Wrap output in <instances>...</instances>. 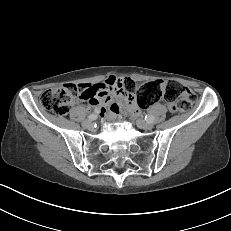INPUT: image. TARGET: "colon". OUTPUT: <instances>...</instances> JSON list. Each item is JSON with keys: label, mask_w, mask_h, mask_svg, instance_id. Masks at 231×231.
Returning <instances> with one entry per match:
<instances>
[{"label": "colon", "mask_w": 231, "mask_h": 231, "mask_svg": "<svg viewBox=\"0 0 231 231\" xmlns=\"http://www.w3.org/2000/svg\"><path fill=\"white\" fill-rule=\"evenodd\" d=\"M121 88L129 93L135 94L139 107L146 108L152 104L165 100L171 111L189 110L196 96L176 81L154 80L136 85L130 79H125ZM89 94L87 89L76 84H65L60 87L51 88L42 93L40 104L46 110L56 115H66L76 101H81Z\"/></svg>", "instance_id": "colon-1"}]
</instances>
